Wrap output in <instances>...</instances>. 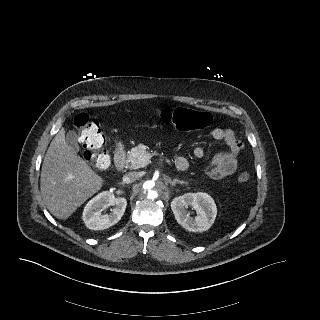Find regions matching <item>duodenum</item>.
<instances>
[{
	"mask_svg": "<svg viewBox=\"0 0 320 320\" xmlns=\"http://www.w3.org/2000/svg\"><path fill=\"white\" fill-rule=\"evenodd\" d=\"M114 163L117 170L121 171L126 165V152L123 147H118L114 153ZM176 167L179 170H185L187 168L186 163L181 166L176 162Z\"/></svg>",
	"mask_w": 320,
	"mask_h": 320,
	"instance_id": "obj_1",
	"label": "duodenum"
}]
</instances>
